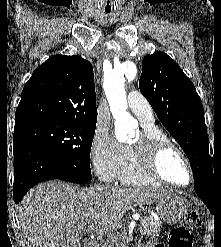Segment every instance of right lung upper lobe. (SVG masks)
Masks as SVG:
<instances>
[{"label": "right lung upper lobe", "instance_id": "cb5924a9", "mask_svg": "<svg viewBox=\"0 0 221 247\" xmlns=\"http://www.w3.org/2000/svg\"><path fill=\"white\" fill-rule=\"evenodd\" d=\"M96 121L91 63L77 55H55L40 65L24 86L15 129L40 123Z\"/></svg>", "mask_w": 221, "mask_h": 247}]
</instances>
